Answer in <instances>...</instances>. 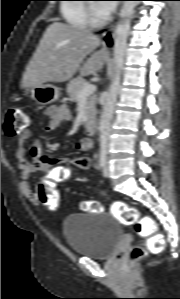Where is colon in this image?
Masks as SVG:
<instances>
[{"label":"colon","mask_w":180,"mask_h":299,"mask_svg":"<svg viewBox=\"0 0 180 299\" xmlns=\"http://www.w3.org/2000/svg\"><path fill=\"white\" fill-rule=\"evenodd\" d=\"M30 118L23 108H11L4 124V131L9 136H15L26 129ZM40 204L49 210H54L59 204V192L52 182H45L38 188ZM87 213L101 212L102 206L96 201H84L80 205ZM111 210L124 225L134 226L135 232L146 239L145 247L137 245L131 251V261L143 258L147 253H160L165 247L164 236L158 231L155 220L151 217H141L139 211L123 201H115Z\"/></svg>","instance_id":"colon-1"}]
</instances>
